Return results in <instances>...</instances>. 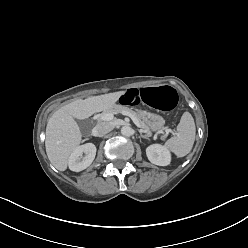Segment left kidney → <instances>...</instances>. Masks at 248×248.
I'll return each instance as SVG.
<instances>
[{"mask_svg":"<svg viewBox=\"0 0 248 248\" xmlns=\"http://www.w3.org/2000/svg\"><path fill=\"white\" fill-rule=\"evenodd\" d=\"M146 154L149 161L159 166H167L171 161V154L168 149L160 144H153L147 147Z\"/></svg>","mask_w":248,"mask_h":248,"instance_id":"1","label":"left kidney"}]
</instances>
